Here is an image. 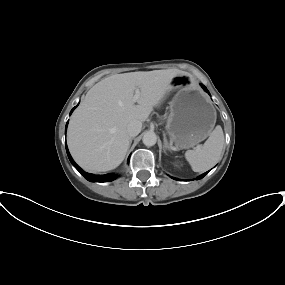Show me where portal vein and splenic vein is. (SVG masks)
<instances>
[{
	"label": "portal vein and splenic vein",
	"mask_w": 285,
	"mask_h": 285,
	"mask_svg": "<svg viewBox=\"0 0 285 285\" xmlns=\"http://www.w3.org/2000/svg\"><path fill=\"white\" fill-rule=\"evenodd\" d=\"M139 97H140V91H139V89H136L133 100L136 102L139 99Z\"/></svg>",
	"instance_id": "portal-vein-and-splenic-vein-1"
}]
</instances>
